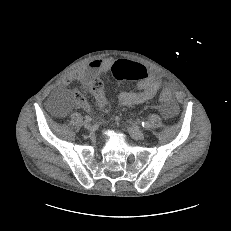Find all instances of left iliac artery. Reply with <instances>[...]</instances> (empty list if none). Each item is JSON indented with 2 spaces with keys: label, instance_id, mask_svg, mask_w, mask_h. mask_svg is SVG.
<instances>
[{
  "label": "left iliac artery",
  "instance_id": "1",
  "mask_svg": "<svg viewBox=\"0 0 231 231\" xmlns=\"http://www.w3.org/2000/svg\"><path fill=\"white\" fill-rule=\"evenodd\" d=\"M141 125H142L143 128H146V129L150 127V123L147 122V121H143V122L141 123Z\"/></svg>",
  "mask_w": 231,
  "mask_h": 231
}]
</instances>
